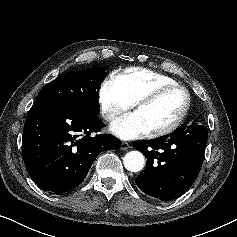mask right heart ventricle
I'll list each match as a JSON object with an SVG mask.
<instances>
[{
	"label": "right heart ventricle",
	"instance_id": "obj_1",
	"mask_svg": "<svg viewBox=\"0 0 237 237\" xmlns=\"http://www.w3.org/2000/svg\"><path fill=\"white\" fill-rule=\"evenodd\" d=\"M113 78L132 104L158 86L176 83L173 78L165 74L139 67L117 72L113 74Z\"/></svg>",
	"mask_w": 237,
	"mask_h": 237
}]
</instances>
